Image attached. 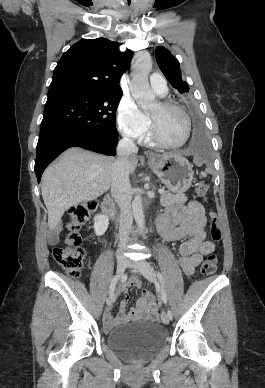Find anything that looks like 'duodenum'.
I'll return each instance as SVG.
<instances>
[{"label": "duodenum", "mask_w": 265, "mask_h": 388, "mask_svg": "<svg viewBox=\"0 0 265 388\" xmlns=\"http://www.w3.org/2000/svg\"><path fill=\"white\" fill-rule=\"evenodd\" d=\"M102 211L111 221H114L116 219L114 201L110 196H107L104 198L102 202ZM156 226L158 227L159 230L163 226V223L159 218L156 220Z\"/></svg>", "instance_id": "410a0bca"}]
</instances>
